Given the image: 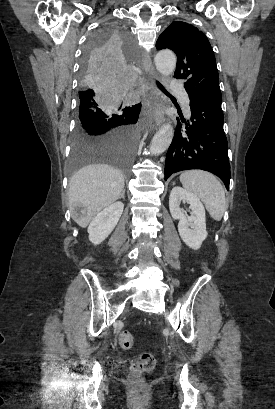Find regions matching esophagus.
<instances>
[{"mask_svg": "<svg viewBox=\"0 0 275 409\" xmlns=\"http://www.w3.org/2000/svg\"><path fill=\"white\" fill-rule=\"evenodd\" d=\"M142 69L145 72L147 84L149 85L153 95H154V120H155V126L160 127V125L163 124L164 122V113H163V106L161 99L159 97V92L155 87L154 84V79L156 76L154 75L152 65H151V59L150 56L147 52L142 53Z\"/></svg>", "mask_w": 275, "mask_h": 409, "instance_id": "esophagus-1", "label": "esophagus"}]
</instances>
